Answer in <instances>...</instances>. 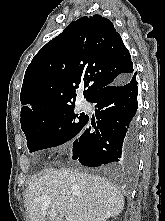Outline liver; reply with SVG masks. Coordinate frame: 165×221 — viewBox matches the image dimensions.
<instances>
[{"instance_id":"obj_1","label":"liver","mask_w":165,"mask_h":221,"mask_svg":"<svg viewBox=\"0 0 165 221\" xmlns=\"http://www.w3.org/2000/svg\"><path fill=\"white\" fill-rule=\"evenodd\" d=\"M24 203L30 221H105L118 215L124 198L115 185L75 169H47L29 184ZM55 210L57 217H48Z\"/></svg>"}]
</instances>
